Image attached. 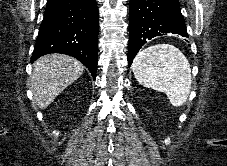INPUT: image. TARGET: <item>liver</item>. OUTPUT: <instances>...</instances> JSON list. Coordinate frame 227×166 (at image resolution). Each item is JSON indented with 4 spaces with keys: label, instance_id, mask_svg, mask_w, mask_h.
Returning <instances> with one entry per match:
<instances>
[{
    "label": "liver",
    "instance_id": "6515ba94",
    "mask_svg": "<svg viewBox=\"0 0 227 166\" xmlns=\"http://www.w3.org/2000/svg\"><path fill=\"white\" fill-rule=\"evenodd\" d=\"M83 71L84 65L68 55L40 57L33 65L31 76V89L37 106L46 109Z\"/></svg>",
    "mask_w": 227,
    "mask_h": 166
}]
</instances>
